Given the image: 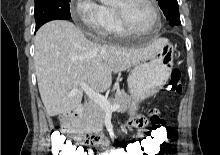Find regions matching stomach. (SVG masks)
<instances>
[{
    "instance_id": "stomach-1",
    "label": "stomach",
    "mask_w": 220,
    "mask_h": 155,
    "mask_svg": "<svg viewBox=\"0 0 220 155\" xmlns=\"http://www.w3.org/2000/svg\"><path fill=\"white\" fill-rule=\"evenodd\" d=\"M148 60L137 64L128 77V89L132 98L130 114L138 110V104L156 95L167 83L174 57V47L167 39Z\"/></svg>"
}]
</instances>
